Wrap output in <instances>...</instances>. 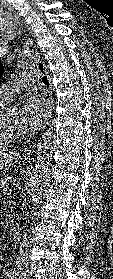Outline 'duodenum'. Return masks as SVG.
<instances>
[{
  "mask_svg": "<svg viewBox=\"0 0 113 279\" xmlns=\"http://www.w3.org/2000/svg\"><path fill=\"white\" fill-rule=\"evenodd\" d=\"M21 236V227L17 222H14L10 226V238L12 242L18 244Z\"/></svg>",
  "mask_w": 113,
  "mask_h": 279,
  "instance_id": "410a0bca",
  "label": "duodenum"
}]
</instances>
